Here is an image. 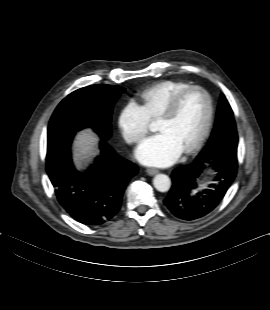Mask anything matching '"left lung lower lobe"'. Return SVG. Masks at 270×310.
Returning a JSON list of instances; mask_svg holds the SVG:
<instances>
[{
	"label": "left lung lower lobe",
	"instance_id": "obj_1",
	"mask_svg": "<svg viewBox=\"0 0 270 310\" xmlns=\"http://www.w3.org/2000/svg\"><path fill=\"white\" fill-rule=\"evenodd\" d=\"M212 163L218 171L214 190L206 189L192 195L194 182L204 169V163ZM237 174V161L196 160L194 163L174 170L172 187L164 200L165 205L176 217L195 220L211 212L223 199Z\"/></svg>",
	"mask_w": 270,
	"mask_h": 310
}]
</instances>
